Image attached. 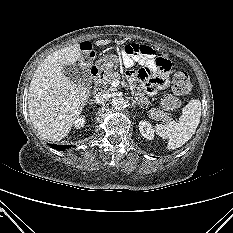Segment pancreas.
I'll return each mask as SVG.
<instances>
[{
    "label": "pancreas",
    "instance_id": "cf45deb5",
    "mask_svg": "<svg viewBox=\"0 0 233 233\" xmlns=\"http://www.w3.org/2000/svg\"><path fill=\"white\" fill-rule=\"evenodd\" d=\"M120 77V74L118 72H112L107 74L102 82L106 85H111L112 81L115 79H118ZM110 89H113V87H110ZM133 95L135 96V99L137 100L138 104L141 106H148L150 102L145 97V95L140 91L138 88V91H134ZM150 117L154 120H161L163 122H169L171 118L163 111L157 110V109H150Z\"/></svg>",
    "mask_w": 233,
    "mask_h": 233
}]
</instances>
